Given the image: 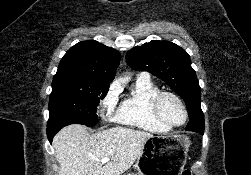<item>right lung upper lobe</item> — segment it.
Masks as SVG:
<instances>
[{"label": "right lung upper lobe", "mask_w": 251, "mask_h": 175, "mask_svg": "<svg viewBox=\"0 0 251 175\" xmlns=\"http://www.w3.org/2000/svg\"><path fill=\"white\" fill-rule=\"evenodd\" d=\"M119 61L117 50L97 41H82L63 56L53 80L109 87Z\"/></svg>", "instance_id": "obj_1"}]
</instances>
